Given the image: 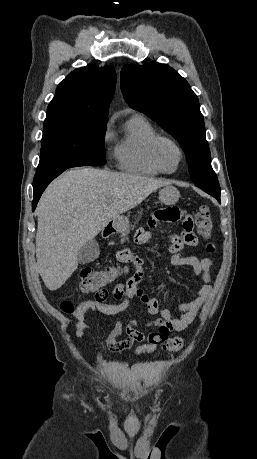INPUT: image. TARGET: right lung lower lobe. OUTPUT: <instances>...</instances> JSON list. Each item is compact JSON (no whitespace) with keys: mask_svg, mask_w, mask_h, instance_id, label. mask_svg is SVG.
I'll return each instance as SVG.
<instances>
[{"mask_svg":"<svg viewBox=\"0 0 257 459\" xmlns=\"http://www.w3.org/2000/svg\"><path fill=\"white\" fill-rule=\"evenodd\" d=\"M77 166H88L82 163H71L67 165H59L47 170H37L34 181H33V190H34V200L32 203V210L34 211L36 205L45 190L48 184L55 179L58 175L64 172L66 169Z\"/></svg>","mask_w":257,"mask_h":459,"instance_id":"obj_1","label":"right lung lower lobe"}]
</instances>
